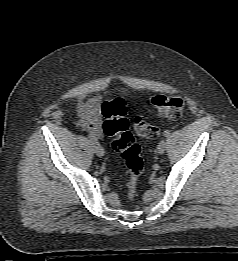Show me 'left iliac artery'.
Masks as SVG:
<instances>
[{
	"label": "left iliac artery",
	"mask_w": 238,
	"mask_h": 261,
	"mask_svg": "<svg viewBox=\"0 0 238 261\" xmlns=\"http://www.w3.org/2000/svg\"><path fill=\"white\" fill-rule=\"evenodd\" d=\"M163 135H164V137H169L170 131L169 130L164 131Z\"/></svg>",
	"instance_id": "44dca946"
}]
</instances>
